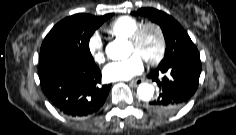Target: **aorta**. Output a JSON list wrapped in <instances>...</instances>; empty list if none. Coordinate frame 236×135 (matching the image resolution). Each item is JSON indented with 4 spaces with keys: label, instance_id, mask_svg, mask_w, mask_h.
Instances as JSON below:
<instances>
[{
    "label": "aorta",
    "instance_id": "aorta-1",
    "mask_svg": "<svg viewBox=\"0 0 236 135\" xmlns=\"http://www.w3.org/2000/svg\"><path fill=\"white\" fill-rule=\"evenodd\" d=\"M106 54L112 60H120L128 56L127 42L123 39H116L106 47ZM154 86L142 83L138 86L137 94L143 101H150L154 95Z\"/></svg>",
    "mask_w": 236,
    "mask_h": 135
}]
</instances>
